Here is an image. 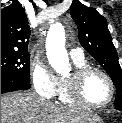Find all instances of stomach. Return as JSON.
I'll return each instance as SVG.
<instances>
[{
  "label": "stomach",
  "instance_id": "obj_1",
  "mask_svg": "<svg viewBox=\"0 0 122 123\" xmlns=\"http://www.w3.org/2000/svg\"><path fill=\"white\" fill-rule=\"evenodd\" d=\"M81 123H103V120L97 115L90 112V115Z\"/></svg>",
  "mask_w": 122,
  "mask_h": 123
}]
</instances>
